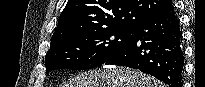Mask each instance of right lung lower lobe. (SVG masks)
<instances>
[{"label": "right lung lower lobe", "mask_w": 205, "mask_h": 87, "mask_svg": "<svg viewBox=\"0 0 205 87\" xmlns=\"http://www.w3.org/2000/svg\"><path fill=\"white\" fill-rule=\"evenodd\" d=\"M103 64L139 69L169 87H182L184 52L173 5L139 24L127 43Z\"/></svg>", "instance_id": "98d812e1"}]
</instances>
